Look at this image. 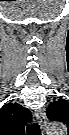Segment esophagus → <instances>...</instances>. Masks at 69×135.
<instances>
[{
    "label": "esophagus",
    "instance_id": "esophagus-1",
    "mask_svg": "<svg viewBox=\"0 0 69 135\" xmlns=\"http://www.w3.org/2000/svg\"><path fill=\"white\" fill-rule=\"evenodd\" d=\"M35 117L38 120L41 127L43 129H45V127L47 125V118H46L44 110L43 109H36L35 110Z\"/></svg>",
    "mask_w": 69,
    "mask_h": 135
}]
</instances>
